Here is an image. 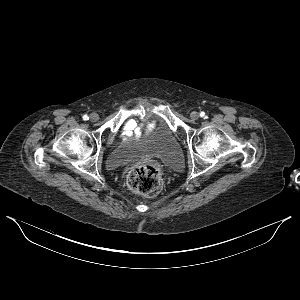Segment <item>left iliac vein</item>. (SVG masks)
<instances>
[{"mask_svg": "<svg viewBox=\"0 0 300 300\" xmlns=\"http://www.w3.org/2000/svg\"><path fill=\"white\" fill-rule=\"evenodd\" d=\"M190 118H191V120H193V121L198 120V119H199V113L196 112V111H193V112L190 114Z\"/></svg>", "mask_w": 300, "mask_h": 300, "instance_id": "obj_1", "label": "left iliac vein"}]
</instances>
